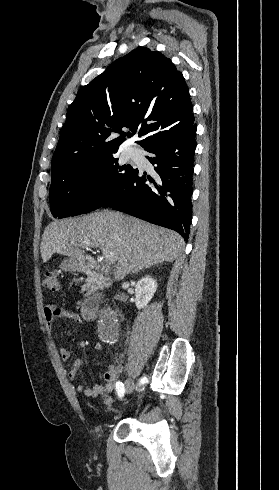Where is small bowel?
<instances>
[{
	"label": "small bowel",
	"mask_w": 279,
	"mask_h": 490,
	"mask_svg": "<svg viewBox=\"0 0 279 490\" xmlns=\"http://www.w3.org/2000/svg\"><path fill=\"white\" fill-rule=\"evenodd\" d=\"M64 319L73 323H81V315L70 309H65L57 307L55 305H49L44 309V322L46 327L50 328L54 322ZM96 351H104L102 345L97 344L95 346ZM60 356L62 360L68 361L71 358V351L67 347H61L59 349ZM84 367V362L81 359L74 360L69 372L68 377L70 380H75L77 378L78 372ZM103 384H96L92 387H85L84 384L79 383L76 385V391L82 393L88 397H103L110 394L114 389L115 383V367L110 364L103 374Z\"/></svg>",
	"instance_id": "c3829d8e"
}]
</instances>
